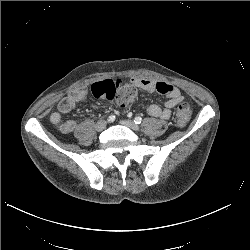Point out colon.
Here are the masks:
<instances>
[{"mask_svg":"<svg viewBox=\"0 0 250 250\" xmlns=\"http://www.w3.org/2000/svg\"><path fill=\"white\" fill-rule=\"evenodd\" d=\"M91 94L97 98L107 101L116 100L120 107L126 108L134 98L135 91L129 87H123L113 80L96 82L90 87ZM192 108L188 103H181L174 113V121L177 126L184 127L190 121Z\"/></svg>","mask_w":250,"mask_h":250,"instance_id":"obj_1","label":"colon"}]
</instances>
